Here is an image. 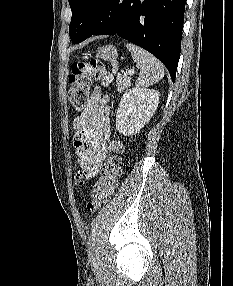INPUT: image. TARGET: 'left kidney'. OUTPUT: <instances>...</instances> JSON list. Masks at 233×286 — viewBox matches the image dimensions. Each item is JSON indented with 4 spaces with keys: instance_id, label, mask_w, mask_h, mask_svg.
I'll use <instances>...</instances> for the list:
<instances>
[{
    "instance_id": "5707ae66",
    "label": "left kidney",
    "mask_w": 233,
    "mask_h": 286,
    "mask_svg": "<svg viewBox=\"0 0 233 286\" xmlns=\"http://www.w3.org/2000/svg\"><path fill=\"white\" fill-rule=\"evenodd\" d=\"M159 96V91L141 87L126 91L117 109V131L124 136L138 133L157 109Z\"/></svg>"
}]
</instances>
